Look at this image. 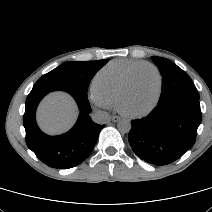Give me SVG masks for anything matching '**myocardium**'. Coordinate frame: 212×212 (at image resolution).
<instances>
[{
    "label": "myocardium",
    "mask_w": 212,
    "mask_h": 212,
    "mask_svg": "<svg viewBox=\"0 0 212 212\" xmlns=\"http://www.w3.org/2000/svg\"><path fill=\"white\" fill-rule=\"evenodd\" d=\"M142 68H151L156 73V75L158 77V92H157V95H156L154 102L152 103V105L149 108H147L146 110H144L140 113H129V112H126V111L123 110L122 102H123V99H124L128 89L131 86V83L133 81L135 74ZM162 89H163V76H162L160 70L152 63H149V62L142 63V64L136 66L134 69H132L130 71V73L126 77L124 83L122 84L121 89H120L118 96H117V100H116L117 109L123 115L130 117V118L143 117V116L149 114L156 107V105L158 104V102L160 100V97H161V94H162Z\"/></svg>",
    "instance_id": "myocardium-1"
}]
</instances>
